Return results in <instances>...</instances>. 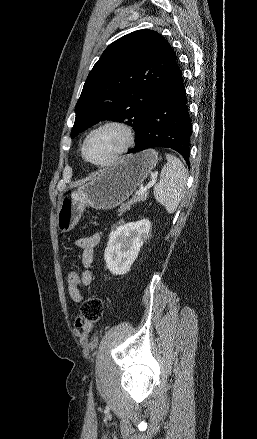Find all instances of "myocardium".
Returning <instances> with one entry per match:
<instances>
[{
	"mask_svg": "<svg viewBox=\"0 0 257 439\" xmlns=\"http://www.w3.org/2000/svg\"><path fill=\"white\" fill-rule=\"evenodd\" d=\"M106 128H113V129L118 130L122 135L123 145L116 153H114L107 160L102 161V162H95V161L91 160L87 155V145H88L91 137L95 133H97L103 129H106ZM133 143H134V133H133L132 129L127 124L122 123V122H118V121H107V122L101 123L100 125L96 126L87 134V136L85 137V139L83 141V145H82V156L86 162H88L89 164H91L95 167H98V168L109 167L113 163H115L118 159H120L132 147Z\"/></svg>",
	"mask_w": 257,
	"mask_h": 439,
	"instance_id": "obj_1",
	"label": "myocardium"
}]
</instances>
